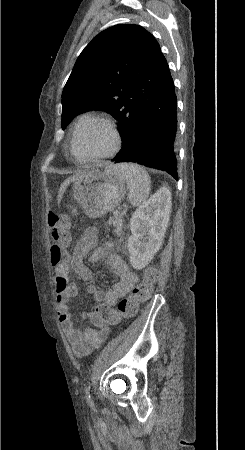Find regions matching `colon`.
<instances>
[{"mask_svg": "<svg viewBox=\"0 0 245 450\" xmlns=\"http://www.w3.org/2000/svg\"><path fill=\"white\" fill-rule=\"evenodd\" d=\"M52 244L50 247V262L52 266L62 264L67 257L70 225L64 215L50 213L48 218ZM158 279L156 266H147L143 271L142 280L136 284L130 295L117 303L116 307L108 304H97L92 309L95 318L105 324H117L122 319L136 315L141 304L149 301L154 285Z\"/></svg>", "mask_w": 245, "mask_h": 450, "instance_id": "colon-1", "label": "colon"}]
</instances>
